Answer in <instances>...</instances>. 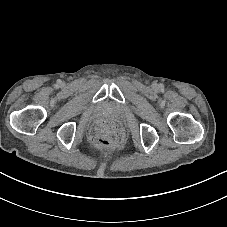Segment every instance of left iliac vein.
Instances as JSON below:
<instances>
[{"label": "left iliac vein", "mask_w": 227, "mask_h": 227, "mask_svg": "<svg viewBox=\"0 0 227 227\" xmlns=\"http://www.w3.org/2000/svg\"><path fill=\"white\" fill-rule=\"evenodd\" d=\"M153 87H157V84H153Z\"/></svg>", "instance_id": "obj_1"}]
</instances>
